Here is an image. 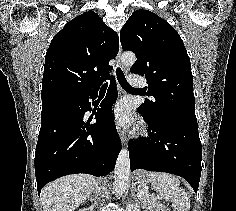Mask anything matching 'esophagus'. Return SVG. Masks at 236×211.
Masks as SVG:
<instances>
[{"label":"esophagus","instance_id":"esophagus-1","mask_svg":"<svg viewBox=\"0 0 236 211\" xmlns=\"http://www.w3.org/2000/svg\"><path fill=\"white\" fill-rule=\"evenodd\" d=\"M121 54H122V46H121V43H120L119 44V51H118V54L116 56V62H117V66H119L120 68L123 69V64L121 63ZM117 131H118V135L120 137V140H121L122 144H124L125 141H126L124 130L118 125L117 126Z\"/></svg>","mask_w":236,"mask_h":211}]
</instances>
